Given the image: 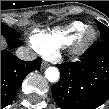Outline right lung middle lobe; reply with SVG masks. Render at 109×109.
I'll return each mask as SVG.
<instances>
[{
    "label": "right lung middle lobe",
    "instance_id": "dd1d6c3e",
    "mask_svg": "<svg viewBox=\"0 0 109 109\" xmlns=\"http://www.w3.org/2000/svg\"><path fill=\"white\" fill-rule=\"evenodd\" d=\"M1 34L8 35L14 38H20V34L4 23H1Z\"/></svg>",
    "mask_w": 109,
    "mask_h": 109
}]
</instances>
